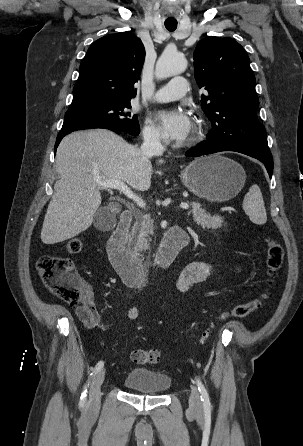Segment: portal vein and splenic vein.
Wrapping results in <instances>:
<instances>
[{"label":"portal vein and splenic vein","instance_id":"18ae733b","mask_svg":"<svg viewBox=\"0 0 303 446\" xmlns=\"http://www.w3.org/2000/svg\"><path fill=\"white\" fill-rule=\"evenodd\" d=\"M96 182L99 186H101L103 188H111V189L119 190L125 196H127L129 199H131L135 203H137V205L139 207L145 208L144 201L139 196L134 194V192L124 182H121L118 180H101V179H97ZM180 207L182 209H186V210L189 209V205L186 202H182L180 204Z\"/></svg>","mask_w":303,"mask_h":446}]
</instances>
